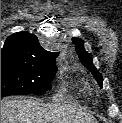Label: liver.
<instances>
[{
    "mask_svg": "<svg viewBox=\"0 0 122 123\" xmlns=\"http://www.w3.org/2000/svg\"><path fill=\"white\" fill-rule=\"evenodd\" d=\"M1 123H98L89 113L69 104H44L34 98L1 101Z\"/></svg>",
    "mask_w": 122,
    "mask_h": 123,
    "instance_id": "obj_1",
    "label": "liver"
}]
</instances>
